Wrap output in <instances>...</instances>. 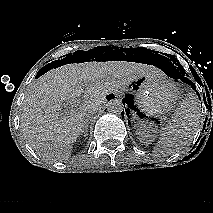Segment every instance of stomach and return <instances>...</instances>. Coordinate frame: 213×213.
Returning a JSON list of instances; mask_svg holds the SVG:
<instances>
[{"label":"stomach","mask_w":213,"mask_h":213,"mask_svg":"<svg viewBox=\"0 0 213 213\" xmlns=\"http://www.w3.org/2000/svg\"><path fill=\"white\" fill-rule=\"evenodd\" d=\"M139 110L158 118L174 108L179 100L176 86L161 75H144L133 83Z\"/></svg>","instance_id":"stomach-1"}]
</instances>
